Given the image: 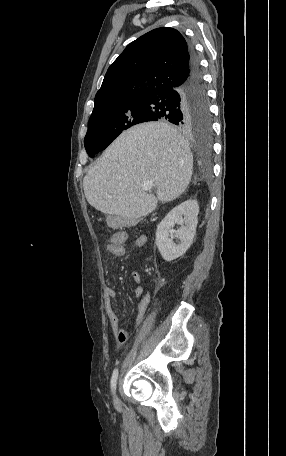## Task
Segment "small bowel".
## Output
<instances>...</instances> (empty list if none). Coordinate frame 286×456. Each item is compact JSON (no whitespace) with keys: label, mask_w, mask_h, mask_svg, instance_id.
Returning a JSON list of instances; mask_svg holds the SVG:
<instances>
[{"label":"small bowel","mask_w":286,"mask_h":456,"mask_svg":"<svg viewBox=\"0 0 286 456\" xmlns=\"http://www.w3.org/2000/svg\"><path fill=\"white\" fill-rule=\"evenodd\" d=\"M128 234L124 231H117L112 236L111 240L106 245V251L115 256V257H123L126 254L125 250V243L127 242ZM147 244V237L145 235H139L135 240V247L138 249H142ZM131 280L134 285V294L137 297H140V301L137 306V314L133 321V327L138 325L145 317L146 311L151 302V295L150 293L144 288L142 284V277L140 273L133 272L131 274ZM106 295V303H105V312L108 323L112 332L115 335L116 342L119 345L124 344L128 337H129V330L126 329H119V317L117 316L116 312L112 306V300L116 297V292L112 288H106L105 290Z\"/></svg>","instance_id":"1"}]
</instances>
